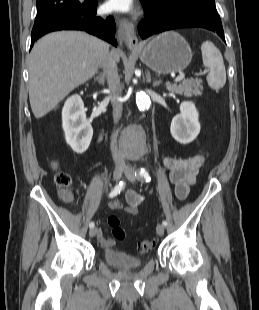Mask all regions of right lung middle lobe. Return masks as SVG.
<instances>
[{
  "instance_id": "right-lung-middle-lobe-1",
  "label": "right lung middle lobe",
  "mask_w": 259,
  "mask_h": 310,
  "mask_svg": "<svg viewBox=\"0 0 259 310\" xmlns=\"http://www.w3.org/2000/svg\"><path fill=\"white\" fill-rule=\"evenodd\" d=\"M78 0H37V16L57 10H72L82 6Z\"/></svg>"
}]
</instances>
